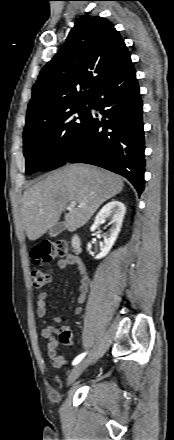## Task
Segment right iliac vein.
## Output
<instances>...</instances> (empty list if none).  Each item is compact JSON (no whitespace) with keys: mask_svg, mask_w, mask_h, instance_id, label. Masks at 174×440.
Returning a JSON list of instances; mask_svg holds the SVG:
<instances>
[{"mask_svg":"<svg viewBox=\"0 0 174 440\" xmlns=\"http://www.w3.org/2000/svg\"><path fill=\"white\" fill-rule=\"evenodd\" d=\"M90 362V358H86L79 362L71 371V373L68 376L67 384L71 385L74 383V381L82 374V372L85 370L87 365Z\"/></svg>","mask_w":174,"mask_h":440,"instance_id":"1","label":"right iliac vein"}]
</instances>
